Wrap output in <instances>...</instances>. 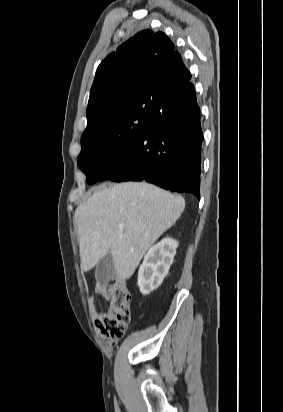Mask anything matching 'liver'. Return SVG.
Here are the masks:
<instances>
[{"instance_id": "6515ba94", "label": "liver", "mask_w": 283, "mask_h": 412, "mask_svg": "<svg viewBox=\"0 0 283 412\" xmlns=\"http://www.w3.org/2000/svg\"><path fill=\"white\" fill-rule=\"evenodd\" d=\"M184 208L183 197L144 182L96 191L74 214L81 269L91 270L110 253L117 277L130 278L145 252L176 223Z\"/></svg>"}]
</instances>
